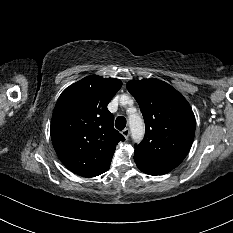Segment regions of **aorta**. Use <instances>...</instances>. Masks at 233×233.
I'll return each instance as SVG.
<instances>
[{"mask_svg":"<svg viewBox=\"0 0 233 233\" xmlns=\"http://www.w3.org/2000/svg\"><path fill=\"white\" fill-rule=\"evenodd\" d=\"M129 126L133 140L136 142L142 140L145 131L142 118L139 115H130Z\"/></svg>","mask_w":233,"mask_h":233,"instance_id":"1","label":"aorta"}]
</instances>
